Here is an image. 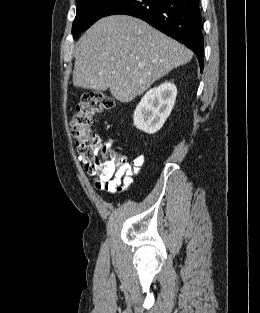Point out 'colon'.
<instances>
[{
	"label": "colon",
	"instance_id": "colon-1",
	"mask_svg": "<svg viewBox=\"0 0 260 313\" xmlns=\"http://www.w3.org/2000/svg\"><path fill=\"white\" fill-rule=\"evenodd\" d=\"M113 107L112 97L102 92L86 93L71 120V133L80 160L89 174L104 181L114 174L121 175L126 167L125 157L105 145L93 130L96 116Z\"/></svg>",
	"mask_w": 260,
	"mask_h": 313
}]
</instances>
